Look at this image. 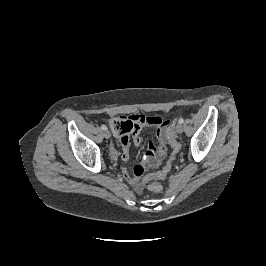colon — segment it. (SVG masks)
Segmentation results:
<instances>
[{"label": "colon", "instance_id": "colon-1", "mask_svg": "<svg viewBox=\"0 0 266 266\" xmlns=\"http://www.w3.org/2000/svg\"><path fill=\"white\" fill-rule=\"evenodd\" d=\"M167 140H168V143L172 149V153H171L167 163L165 164V166L160 171L150 172V173L146 174L144 177V182L149 183L147 185V188L154 193L162 192L163 186L159 182H157L156 180L164 179L167 176V174L171 170L172 163L175 160L176 154L180 150V144L178 143V141L175 137L173 127H170L167 130Z\"/></svg>", "mask_w": 266, "mask_h": 266}]
</instances>
